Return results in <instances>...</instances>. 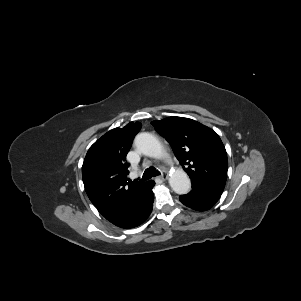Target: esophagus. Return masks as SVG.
Returning <instances> with one entry per match:
<instances>
[{
  "instance_id": "esophagus-1",
  "label": "esophagus",
  "mask_w": 301,
  "mask_h": 301,
  "mask_svg": "<svg viewBox=\"0 0 301 301\" xmlns=\"http://www.w3.org/2000/svg\"><path fill=\"white\" fill-rule=\"evenodd\" d=\"M159 178H160L162 181H165V180L168 179V176H167L165 173H163V174H161V175L159 176Z\"/></svg>"
}]
</instances>
